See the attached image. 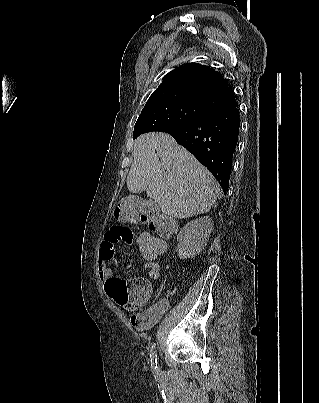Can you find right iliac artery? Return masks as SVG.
<instances>
[{
  "label": "right iliac artery",
  "mask_w": 319,
  "mask_h": 403,
  "mask_svg": "<svg viewBox=\"0 0 319 403\" xmlns=\"http://www.w3.org/2000/svg\"><path fill=\"white\" fill-rule=\"evenodd\" d=\"M150 358H151V367L154 371L158 370V365H157V354H156V344L154 343L151 347L150 351Z\"/></svg>",
  "instance_id": "right-iliac-artery-1"
}]
</instances>
